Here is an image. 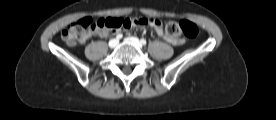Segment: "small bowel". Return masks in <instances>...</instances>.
<instances>
[{"mask_svg":"<svg viewBox=\"0 0 276 120\" xmlns=\"http://www.w3.org/2000/svg\"><path fill=\"white\" fill-rule=\"evenodd\" d=\"M151 26L154 28L157 35L162 37L166 42H168L172 45L183 44L184 40L181 37H171L164 31L160 20H158V19L154 20L153 23L151 24ZM93 34H98L102 37H105L108 35V31L90 33V34L86 35L85 38L81 40V42L88 40Z\"/></svg>","mask_w":276,"mask_h":120,"instance_id":"small-bowel-1","label":"small bowel"}]
</instances>
